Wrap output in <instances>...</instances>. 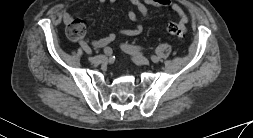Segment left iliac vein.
<instances>
[{"instance_id": "4c4485c4", "label": "left iliac vein", "mask_w": 253, "mask_h": 138, "mask_svg": "<svg viewBox=\"0 0 253 138\" xmlns=\"http://www.w3.org/2000/svg\"><path fill=\"white\" fill-rule=\"evenodd\" d=\"M123 50L126 53L130 54L137 64H140V65H148L149 64V59L146 58L145 56H143L142 54H139L135 51H130L128 48H124Z\"/></svg>"}]
</instances>
